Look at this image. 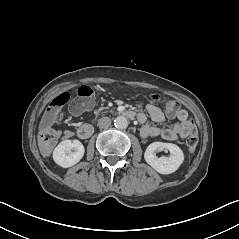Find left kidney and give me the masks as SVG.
Instances as JSON below:
<instances>
[{
  "instance_id": "5707ae66",
  "label": "left kidney",
  "mask_w": 239,
  "mask_h": 239,
  "mask_svg": "<svg viewBox=\"0 0 239 239\" xmlns=\"http://www.w3.org/2000/svg\"><path fill=\"white\" fill-rule=\"evenodd\" d=\"M168 149L170 156H162L158 158L155 151H162ZM145 161L160 174H171L175 172L184 161L183 151L172 143L153 142L151 143L145 153Z\"/></svg>"
}]
</instances>
